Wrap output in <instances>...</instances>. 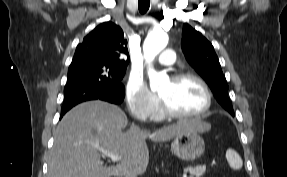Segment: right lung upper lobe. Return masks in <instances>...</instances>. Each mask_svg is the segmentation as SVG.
<instances>
[{"label":"right lung upper lobe","mask_w":287,"mask_h":177,"mask_svg":"<svg viewBox=\"0 0 287 177\" xmlns=\"http://www.w3.org/2000/svg\"><path fill=\"white\" fill-rule=\"evenodd\" d=\"M127 40L122 29L108 21L98 25L80 43L71 64L103 62L125 69L129 62Z\"/></svg>","instance_id":"1"}]
</instances>
